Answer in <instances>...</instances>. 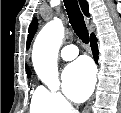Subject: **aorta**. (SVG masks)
Returning a JSON list of instances; mask_svg holds the SVG:
<instances>
[{
  "mask_svg": "<svg viewBox=\"0 0 121 113\" xmlns=\"http://www.w3.org/2000/svg\"><path fill=\"white\" fill-rule=\"evenodd\" d=\"M64 36L62 20L48 22L36 37L32 62L36 74L51 90L59 88L57 57Z\"/></svg>",
  "mask_w": 121,
  "mask_h": 113,
  "instance_id": "1",
  "label": "aorta"
}]
</instances>
